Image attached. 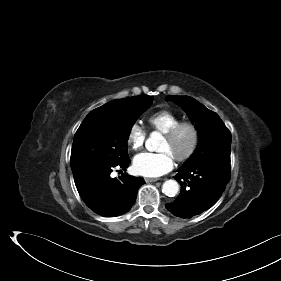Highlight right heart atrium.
<instances>
[{
    "instance_id": "1",
    "label": "right heart atrium",
    "mask_w": 281,
    "mask_h": 281,
    "mask_svg": "<svg viewBox=\"0 0 281 281\" xmlns=\"http://www.w3.org/2000/svg\"><path fill=\"white\" fill-rule=\"evenodd\" d=\"M145 139L146 131L144 127L137 122L133 123L127 134L128 147L133 151L140 150L144 145Z\"/></svg>"
}]
</instances>
